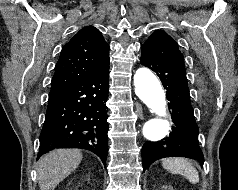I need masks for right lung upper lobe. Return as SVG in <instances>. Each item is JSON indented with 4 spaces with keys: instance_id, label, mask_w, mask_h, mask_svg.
Wrapping results in <instances>:
<instances>
[{
    "instance_id": "right-lung-upper-lobe-1",
    "label": "right lung upper lobe",
    "mask_w": 238,
    "mask_h": 190,
    "mask_svg": "<svg viewBox=\"0 0 238 190\" xmlns=\"http://www.w3.org/2000/svg\"><path fill=\"white\" fill-rule=\"evenodd\" d=\"M108 51L109 45L98 29L93 26L82 28L61 50L50 94L65 89L108 65Z\"/></svg>"
}]
</instances>
